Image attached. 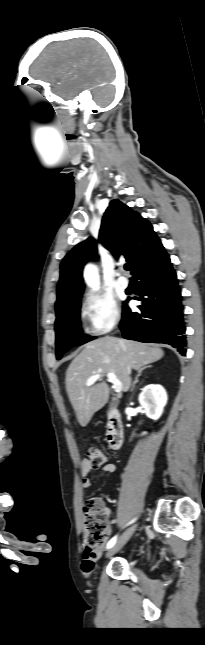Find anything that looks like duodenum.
<instances>
[{"mask_svg":"<svg viewBox=\"0 0 205 645\" xmlns=\"http://www.w3.org/2000/svg\"><path fill=\"white\" fill-rule=\"evenodd\" d=\"M106 437L109 447L113 450H118L123 444L124 429L120 413L116 409H110L108 412Z\"/></svg>","mask_w":205,"mask_h":645,"instance_id":"410a0bca","label":"duodenum"}]
</instances>
